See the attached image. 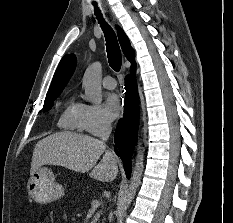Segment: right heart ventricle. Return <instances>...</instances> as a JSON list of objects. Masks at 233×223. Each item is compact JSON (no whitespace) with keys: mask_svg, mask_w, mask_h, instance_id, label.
Segmentation results:
<instances>
[{"mask_svg":"<svg viewBox=\"0 0 233 223\" xmlns=\"http://www.w3.org/2000/svg\"><path fill=\"white\" fill-rule=\"evenodd\" d=\"M81 112L82 104L69 101L59 112L56 125L59 129L65 131L81 130Z\"/></svg>","mask_w":233,"mask_h":223,"instance_id":"right-heart-ventricle-1","label":"right heart ventricle"}]
</instances>
